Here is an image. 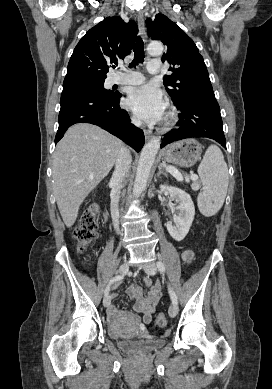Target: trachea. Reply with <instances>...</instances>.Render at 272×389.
Segmentation results:
<instances>
[{
  "instance_id": "3493384b",
  "label": "trachea",
  "mask_w": 272,
  "mask_h": 389,
  "mask_svg": "<svg viewBox=\"0 0 272 389\" xmlns=\"http://www.w3.org/2000/svg\"><path fill=\"white\" fill-rule=\"evenodd\" d=\"M134 59L130 64V67H133L144 61V43L143 40L138 37L134 45Z\"/></svg>"
}]
</instances>
